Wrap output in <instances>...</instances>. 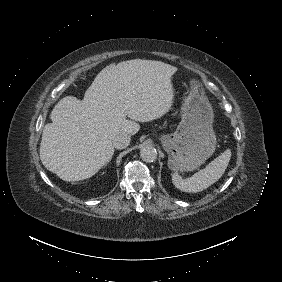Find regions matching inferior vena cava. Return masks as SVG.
Listing matches in <instances>:
<instances>
[{
  "instance_id": "obj_1",
  "label": "inferior vena cava",
  "mask_w": 282,
  "mask_h": 282,
  "mask_svg": "<svg viewBox=\"0 0 282 282\" xmlns=\"http://www.w3.org/2000/svg\"><path fill=\"white\" fill-rule=\"evenodd\" d=\"M130 143V135L119 134L112 139V144L116 149H124Z\"/></svg>"
}]
</instances>
